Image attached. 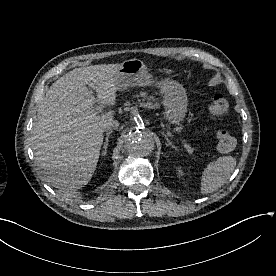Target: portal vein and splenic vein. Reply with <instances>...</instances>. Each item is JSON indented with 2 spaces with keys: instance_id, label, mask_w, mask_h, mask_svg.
<instances>
[{
  "instance_id": "obj_1",
  "label": "portal vein and splenic vein",
  "mask_w": 276,
  "mask_h": 276,
  "mask_svg": "<svg viewBox=\"0 0 276 276\" xmlns=\"http://www.w3.org/2000/svg\"><path fill=\"white\" fill-rule=\"evenodd\" d=\"M102 109H103V108H102L101 105H97V106L94 108V110L96 111V113L102 112ZM180 140H181V142H182L184 148L187 150V152H188L189 154H192V153H193V149L190 147V145H188L184 139L180 138Z\"/></svg>"
}]
</instances>
